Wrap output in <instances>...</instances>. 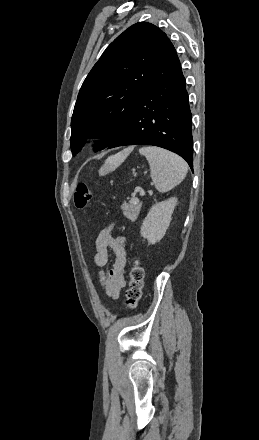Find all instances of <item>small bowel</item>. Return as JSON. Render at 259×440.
Instances as JSON below:
<instances>
[{"label": "small bowel", "instance_id": "c3829d8e", "mask_svg": "<svg viewBox=\"0 0 259 440\" xmlns=\"http://www.w3.org/2000/svg\"><path fill=\"white\" fill-rule=\"evenodd\" d=\"M109 252L114 259L112 266L104 270L109 261ZM94 263L98 268V279L107 296L117 299L126 285L125 272L127 251L125 238L113 235V225L101 230L95 240Z\"/></svg>", "mask_w": 259, "mask_h": 440}]
</instances>
